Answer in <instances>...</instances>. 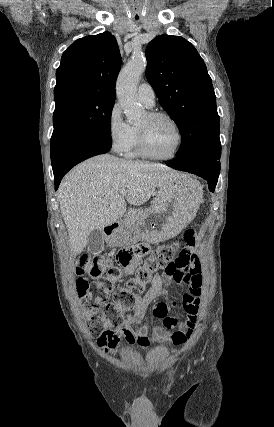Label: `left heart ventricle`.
I'll return each mask as SVG.
<instances>
[{
  "label": "left heart ventricle",
  "instance_id": "obj_1",
  "mask_svg": "<svg viewBox=\"0 0 274 427\" xmlns=\"http://www.w3.org/2000/svg\"><path fill=\"white\" fill-rule=\"evenodd\" d=\"M145 137L146 148L156 156L171 154L176 146V133L165 119L149 120L145 114L137 124Z\"/></svg>",
  "mask_w": 274,
  "mask_h": 427
}]
</instances>
